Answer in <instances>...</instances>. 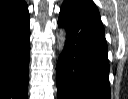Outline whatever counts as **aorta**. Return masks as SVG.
Masks as SVG:
<instances>
[{
	"mask_svg": "<svg viewBox=\"0 0 128 99\" xmlns=\"http://www.w3.org/2000/svg\"><path fill=\"white\" fill-rule=\"evenodd\" d=\"M67 32L65 28H60L56 34V47L59 53H62L66 45Z\"/></svg>",
	"mask_w": 128,
	"mask_h": 99,
	"instance_id": "762f6f07",
	"label": "aorta"
}]
</instances>
